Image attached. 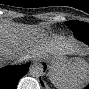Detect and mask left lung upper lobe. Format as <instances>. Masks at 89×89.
I'll use <instances>...</instances> for the list:
<instances>
[{"instance_id":"5c2ea615","label":"left lung upper lobe","mask_w":89,"mask_h":89,"mask_svg":"<svg viewBox=\"0 0 89 89\" xmlns=\"http://www.w3.org/2000/svg\"><path fill=\"white\" fill-rule=\"evenodd\" d=\"M66 24L70 27V29L73 32H77V31H89V24L85 23V22H80V21H67Z\"/></svg>"}]
</instances>
